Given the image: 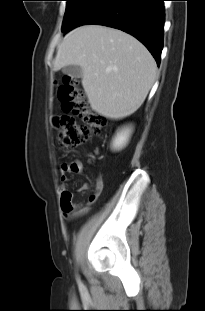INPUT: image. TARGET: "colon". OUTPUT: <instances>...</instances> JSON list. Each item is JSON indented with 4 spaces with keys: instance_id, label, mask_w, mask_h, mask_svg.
<instances>
[{
    "instance_id": "1",
    "label": "colon",
    "mask_w": 205,
    "mask_h": 311,
    "mask_svg": "<svg viewBox=\"0 0 205 311\" xmlns=\"http://www.w3.org/2000/svg\"><path fill=\"white\" fill-rule=\"evenodd\" d=\"M57 100L65 112L64 115L55 118V124L60 129V145L63 148H78L104 127V119L90 108L85 100L84 91L75 79L64 78L57 88ZM75 117L81 122L78 123Z\"/></svg>"
}]
</instances>
